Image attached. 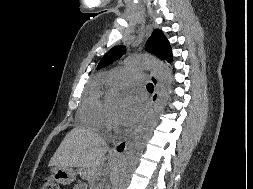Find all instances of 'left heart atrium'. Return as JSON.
Masks as SVG:
<instances>
[{
	"label": "left heart atrium",
	"instance_id": "39dd6f15",
	"mask_svg": "<svg viewBox=\"0 0 253 189\" xmlns=\"http://www.w3.org/2000/svg\"><path fill=\"white\" fill-rule=\"evenodd\" d=\"M145 107L144 100L141 97L137 95L130 96L126 108L120 116L121 125L126 128L134 126L143 116Z\"/></svg>",
	"mask_w": 253,
	"mask_h": 189
}]
</instances>
